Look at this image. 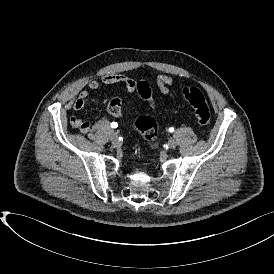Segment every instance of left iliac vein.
Here are the masks:
<instances>
[{"label": "left iliac vein", "instance_id": "1", "mask_svg": "<svg viewBox=\"0 0 274 274\" xmlns=\"http://www.w3.org/2000/svg\"><path fill=\"white\" fill-rule=\"evenodd\" d=\"M177 145V141L174 138H170L168 141V146L171 149H174Z\"/></svg>", "mask_w": 274, "mask_h": 274}]
</instances>
